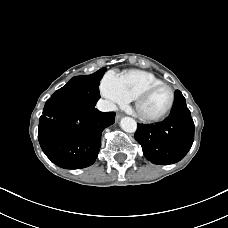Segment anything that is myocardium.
Masks as SVG:
<instances>
[{"instance_id":"myocardium-1","label":"myocardium","mask_w":228,"mask_h":228,"mask_svg":"<svg viewBox=\"0 0 228 228\" xmlns=\"http://www.w3.org/2000/svg\"><path fill=\"white\" fill-rule=\"evenodd\" d=\"M159 87H165L170 91L171 94V99H170V103L168 105V107L159 115L156 116H145L143 114H141L139 112V104L140 102L153 90H155L156 88ZM134 100V108H135V112L136 115L139 117L140 120L147 122V123H154V122H159L161 120H163L164 118H166L169 113L171 112V110L173 109L174 103H175V92L173 90V88L164 83V82H160V83H153V84H149L146 87H144L142 90H140L136 96L133 98Z\"/></svg>"}]
</instances>
